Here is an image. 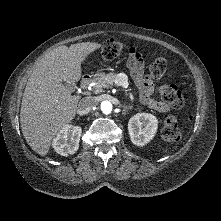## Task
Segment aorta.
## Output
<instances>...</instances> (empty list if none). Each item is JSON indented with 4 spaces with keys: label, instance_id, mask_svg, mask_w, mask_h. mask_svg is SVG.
I'll use <instances>...</instances> for the list:
<instances>
[{
    "label": "aorta",
    "instance_id": "762f6f07",
    "mask_svg": "<svg viewBox=\"0 0 221 221\" xmlns=\"http://www.w3.org/2000/svg\"><path fill=\"white\" fill-rule=\"evenodd\" d=\"M101 111L105 114H109L112 111V104L109 101H103L101 103Z\"/></svg>",
    "mask_w": 221,
    "mask_h": 221
}]
</instances>
